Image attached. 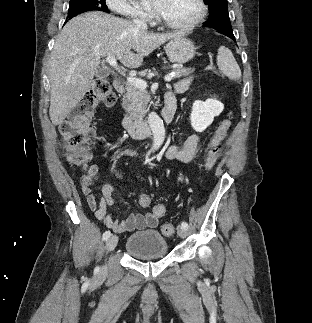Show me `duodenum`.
I'll use <instances>...</instances> for the list:
<instances>
[{
    "mask_svg": "<svg viewBox=\"0 0 312 323\" xmlns=\"http://www.w3.org/2000/svg\"><path fill=\"white\" fill-rule=\"evenodd\" d=\"M126 82L123 78H117L113 82V87L119 93H124ZM176 92L170 91L165 96L164 105L161 110V117L167 124L173 122L177 112ZM123 128L134 138L142 139L151 132V127L147 120L137 118L131 114L124 115L122 119Z\"/></svg>",
    "mask_w": 312,
    "mask_h": 323,
    "instance_id": "1",
    "label": "duodenum"
}]
</instances>
